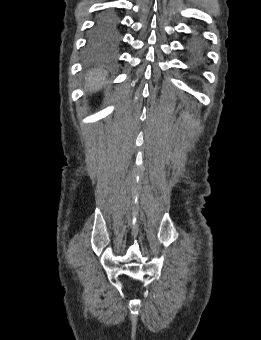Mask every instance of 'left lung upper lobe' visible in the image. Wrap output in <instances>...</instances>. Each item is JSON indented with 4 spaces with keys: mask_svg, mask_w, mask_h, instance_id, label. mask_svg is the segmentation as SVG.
<instances>
[{
    "mask_svg": "<svg viewBox=\"0 0 261 340\" xmlns=\"http://www.w3.org/2000/svg\"><path fill=\"white\" fill-rule=\"evenodd\" d=\"M195 48H199V44H196V45H195Z\"/></svg>",
    "mask_w": 261,
    "mask_h": 340,
    "instance_id": "5c2ea615",
    "label": "left lung upper lobe"
}]
</instances>
